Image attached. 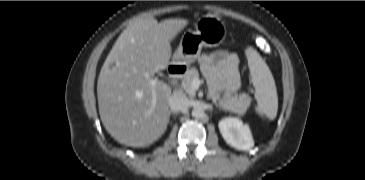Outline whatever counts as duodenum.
<instances>
[{
    "mask_svg": "<svg viewBox=\"0 0 365 180\" xmlns=\"http://www.w3.org/2000/svg\"><path fill=\"white\" fill-rule=\"evenodd\" d=\"M187 72V69L183 65H171L168 68V73L170 75V78L176 82L180 80Z\"/></svg>",
    "mask_w": 365,
    "mask_h": 180,
    "instance_id": "410a0bca",
    "label": "duodenum"
}]
</instances>
